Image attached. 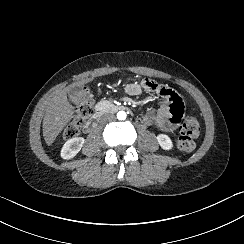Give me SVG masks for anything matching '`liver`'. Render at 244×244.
<instances>
[{
	"mask_svg": "<svg viewBox=\"0 0 244 244\" xmlns=\"http://www.w3.org/2000/svg\"><path fill=\"white\" fill-rule=\"evenodd\" d=\"M94 78L83 79L64 90L57 92L51 99L43 120V136L47 145L51 146L67 123L74 117V108L68 101V93L73 86H84Z\"/></svg>",
	"mask_w": 244,
	"mask_h": 244,
	"instance_id": "1",
	"label": "liver"
}]
</instances>
